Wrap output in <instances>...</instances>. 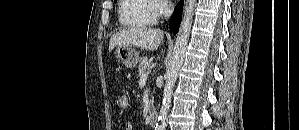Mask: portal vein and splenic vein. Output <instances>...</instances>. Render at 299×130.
Segmentation results:
<instances>
[{
	"label": "portal vein and splenic vein",
	"instance_id": "obj_1",
	"mask_svg": "<svg viewBox=\"0 0 299 130\" xmlns=\"http://www.w3.org/2000/svg\"><path fill=\"white\" fill-rule=\"evenodd\" d=\"M140 78H141V82H146L147 79H148V73H145V74L141 75Z\"/></svg>",
	"mask_w": 299,
	"mask_h": 130
}]
</instances>
